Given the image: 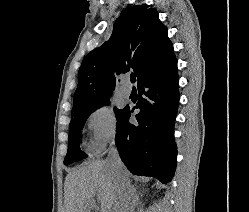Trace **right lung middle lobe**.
I'll list each match as a JSON object with an SVG mask.
<instances>
[{"label":"right lung middle lobe","mask_w":249,"mask_h":212,"mask_svg":"<svg viewBox=\"0 0 249 212\" xmlns=\"http://www.w3.org/2000/svg\"><path fill=\"white\" fill-rule=\"evenodd\" d=\"M109 99L106 98L96 104L79 108L73 109L71 112V121L69 125V140H68V151L64 159V164L69 165L73 162L82 160L86 157V154L81 151L79 143L81 141V130L92 112L96 109L102 107L105 104H108ZM115 115L117 120L121 116L123 109L114 108Z\"/></svg>","instance_id":"1"}]
</instances>
